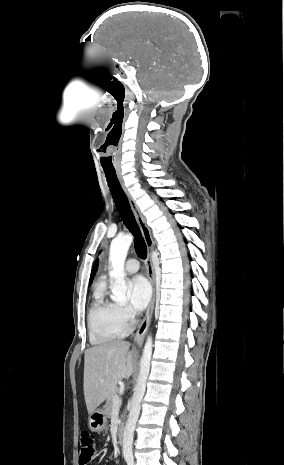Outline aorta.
I'll list each match as a JSON object with an SVG mask.
<instances>
[{
  "instance_id": "762f6f07",
  "label": "aorta",
  "mask_w": 284,
  "mask_h": 465,
  "mask_svg": "<svg viewBox=\"0 0 284 465\" xmlns=\"http://www.w3.org/2000/svg\"><path fill=\"white\" fill-rule=\"evenodd\" d=\"M133 241L132 235H121L112 240L110 245L109 261L112 266L110 276L114 279L111 288V298L116 302L126 301L127 285L125 283L124 265L129 247ZM153 341L152 337L148 336L145 343L141 361L140 372L138 375L135 391L132 397L131 409L128 414L127 422L123 433V456L125 459H131L133 436L135 426L139 417L141 401L145 394L147 378L150 371V361L152 356Z\"/></svg>"
}]
</instances>
